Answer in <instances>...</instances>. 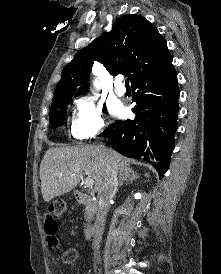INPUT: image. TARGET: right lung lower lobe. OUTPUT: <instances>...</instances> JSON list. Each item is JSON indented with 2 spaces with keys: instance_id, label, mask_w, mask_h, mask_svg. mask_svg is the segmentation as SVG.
<instances>
[{
  "instance_id": "right-lung-lower-lobe-1",
  "label": "right lung lower lobe",
  "mask_w": 221,
  "mask_h": 274,
  "mask_svg": "<svg viewBox=\"0 0 221 274\" xmlns=\"http://www.w3.org/2000/svg\"><path fill=\"white\" fill-rule=\"evenodd\" d=\"M134 120L115 121L101 135L120 154L152 163L162 177L175 147L179 88L172 58L132 84Z\"/></svg>"
}]
</instances>
